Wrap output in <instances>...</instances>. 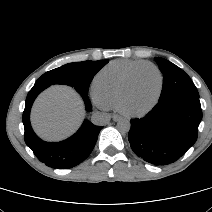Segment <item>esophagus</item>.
Returning <instances> with one entry per match:
<instances>
[{
    "label": "esophagus",
    "mask_w": 212,
    "mask_h": 212,
    "mask_svg": "<svg viewBox=\"0 0 212 212\" xmlns=\"http://www.w3.org/2000/svg\"><path fill=\"white\" fill-rule=\"evenodd\" d=\"M112 118H113V121H115V122L120 121V120L122 119V117L119 116V115H117V114H114V115L112 116Z\"/></svg>",
    "instance_id": "34e87169"
}]
</instances>
